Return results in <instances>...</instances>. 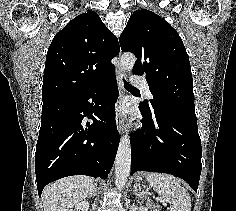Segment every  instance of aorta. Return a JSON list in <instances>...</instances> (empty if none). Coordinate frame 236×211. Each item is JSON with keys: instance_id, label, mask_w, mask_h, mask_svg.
Returning <instances> with one entry per match:
<instances>
[{"instance_id": "obj_1", "label": "aorta", "mask_w": 236, "mask_h": 211, "mask_svg": "<svg viewBox=\"0 0 236 211\" xmlns=\"http://www.w3.org/2000/svg\"><path fill=\"white\" fill-rule=\"evenodd\" d=\"M136 57L132 53L121 56L120 66L123 71H131L135 65ZM131 170V145L128 135L120 139L115 159V185L118 189L124 188Z\"/></svg>"}]
</instances>
